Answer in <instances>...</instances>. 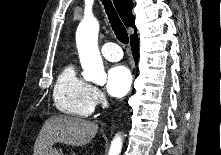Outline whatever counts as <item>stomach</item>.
Masks as SVG:
<instances>
[{
  "label": "stomach",
  "mask_w": 221,
  "mask_h": 155,
  "mask_svg": "<svg viewBox=\"0 0 221 155\" xmlns=\"http://www.w3.org/2000/svg\"><path fill=\"white\" fill-rule=\"evenodd\" d=\"M45 155H63L61 151L56 148H50Z\"/></svg>",
  "instance_id": "obj_1"
}]
</instances>
